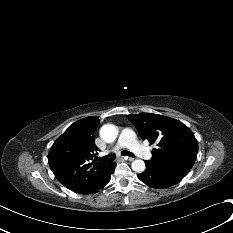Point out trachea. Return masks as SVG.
<instances>
[{
    "mask_svg": "<svg viewBox=\"0 0 233 233\" xmlns=\"http://www.w3.org/2000/svg\"><path fill=\"white\" fill-rule=\"evenodd\" d=\"M121 154L124 156L134 157V154L127 150L122 151ZM114 160H115V155H107L101 158L97 157V161L104 162V163H110V162H113Z\"/></svg>",
    "mask_w": 233,
    "mask_h": 233,
    "instance_id": "trachea-1",
    "label": "trachea"
}]
</instances>
